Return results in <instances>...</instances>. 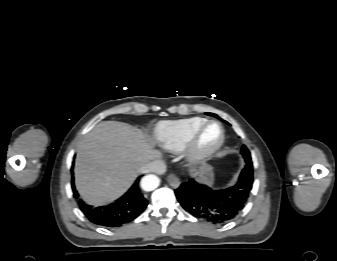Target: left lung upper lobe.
I'll use <instances>...</instances> for the list:
<instances>
[{
    "label": "left lung upper lobe",
    "instance_id": "left-lung-upper-lobe-1",
    "mask_svg": "<svg viewBox=\"0 0 337 261\" xmlns=\"http://www.w3.org/2000/svg\"><path fill=\"white\" fill-rule=\"evenodd\" d=\"M241 153L245 159V162H246V166L244 169L246 170H250L253 168V165H252V161H251V156H250V152L249 150L246 148L245 145H243L242 147V150H241Z\"/></svg>",
    "mask_w": 337,
    "mask_h": 261
}]
</instances>
